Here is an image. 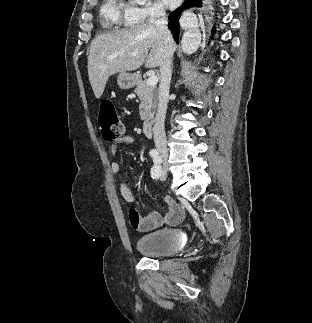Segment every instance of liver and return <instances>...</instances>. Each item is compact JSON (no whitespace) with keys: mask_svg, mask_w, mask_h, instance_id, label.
Returning <instances> with one entry per match:
<instances>
[{"mask_svg":"<svg viewBox=\"0 0 312 323\" xmlns=\"http://www.w3.org/2000/svg\"><path fill=\"white\" fill-rule=\"evenodd\" d=\"M161 56L162 40L154 24H138L96 36L88 56V78L95 98H101L109 76L138 70L144 62L146 68H158Z\"/></svg>","mask_w":312,"mask_h":323,"instance_id":"obj_1","label":"liver"}]
</instances>
